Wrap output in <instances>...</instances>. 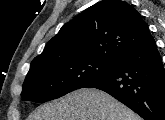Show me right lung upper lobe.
<instances>
[{
  "instance_id": "1",
  "label": "right lung upper lobe",
  "mask_w": 165,
  "mask_h": 120,
  "mask_svg": "<svg viewBox=\"0 0 165 120\" xmlns=\"http://www.w3.org/2000/svg\"><path fill=\"white\" fill-rule=\"evenodd\" d=\"M152 39L148 25L131 5L121 0H103L64 24L30 67L73 58L116 63Z\"/></svg>"
}]
</instances>
